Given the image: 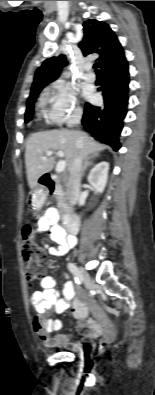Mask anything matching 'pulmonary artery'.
Returning <instances> with one entry per match:
<instances>
[{"label":"pulmonary artery","instance_id":"e3ab8cb5","mask_svg":"<svg viewBox=\"0 0 155 395\" xmlns=\"http://www.w3.org/2000/svg\"><path fill=\"white\" fill-rule=\"evenodd\" d=\"M87 70H89V67H87ZM84 79H85L87 82H94L95 79H96V77H95V75H94L92 72L88 71V72H86V73L84 74Z\"/></svg>","mask_w":155,"mask_h":395}]
</instances>
